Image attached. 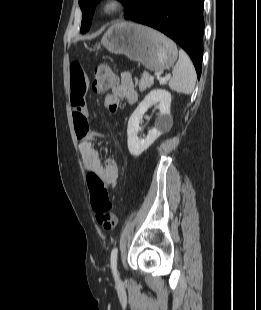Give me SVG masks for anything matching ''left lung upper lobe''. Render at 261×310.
<instances>
[{
  "instance_id": "5c2ea615",
  "label": "left lung upper lobe",
  "mask_w": 261,
  "mask_h": 310,
  "mask_svg": "<svg viewBox=\"0 0 261 310\" xmlns=\"http://www.w3.org/2000/svg\"><path fill=\"white\" fill-rule=\"evenodd\" d=\"M99 1L100 0H79V5L82 10V17H83L81 26L82 33H85L89 30L95 7ZM120 1H122L123 5L127 9L125 13L126 15L132 10L136 0H120Z\"/></svg>"
}]
</instances>
